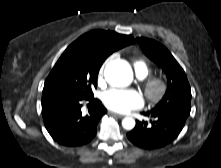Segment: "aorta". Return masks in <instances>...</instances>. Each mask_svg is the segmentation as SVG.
<instances>
[{
	"label": "aorta",
	"instance_id": "1",
	"mask_svg": "<svg viewBox=\"0 0 221 168\" xmlns=\"http://www.w3.org/2000/svg\"><path fill=\"white\" fill-rule=\"evenodd\" d=\"M104 76L111 86L126 87L133 80V71L127 61L116 59L106 65ZM122 126L126 130H132L135 127V120L132 117H125L122 120Z\"/></svg>",
	"mask_w": 221,
	"mask_h": 168
}]
</instances>
